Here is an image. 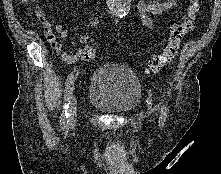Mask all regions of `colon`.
I'll return each mask as SVG.
<instances>
[{
  "instance_id": "1",
  "label": "colon",
  "mask_w": 221,
  "mask_h": 174,
  "mask_svg": "<svg viewBox=\"0 0 221 174\" xmlns=\"http://www.w3.org/2000/svg\"><path fill=\"white\" fill-rule=\"evenodd\" d=\"M24 3L33 2L34 0H21ZM201 0H188L187 10L182 18L171 23L167 42L154 55L147 64L149 72H158L164 68L176 56L183 38L190 33L194 27L200 10ZM82 58L85 61H92L96 56V50L92 43L86 42L82 48Z\"/></svg>"
}]
</instances>
